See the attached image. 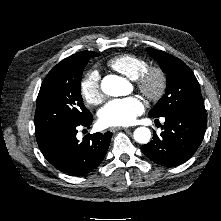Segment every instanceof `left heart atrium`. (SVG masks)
Wrapping results in <instances>:
<instances>
[{
  "mask_svg": "<svg viewBox=\"0 0 221 221\" xmlns=\"http://www.w3.org/2000/svg\"><path fill=\"white\" fill-rule=\"evenodd\" d=\"M144 111V104L139 97L113 99L99 111V122L106 127L132 124Z\"/></svg>",
  "mask_w": 221,
  "mask_h": 221,
  "instance_id": "1",
  "label": "left heart atrium"
}]
</instances>
